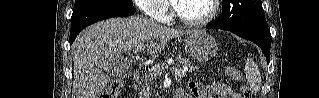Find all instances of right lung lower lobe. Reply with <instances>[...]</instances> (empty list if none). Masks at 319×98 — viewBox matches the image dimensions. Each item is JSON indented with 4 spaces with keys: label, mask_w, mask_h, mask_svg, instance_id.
<instances>
[{
    "label": "right lung lower lobe",
    "mask_w": 319,
    "mask_h": 98,
    "mask_svg": "<svg viewBox=\"0 0 319 98\" xmlns=\"http://www.w3.org/2000/svg\"><path fill=\"white\" fill-rule=\"evenodd\" d=\"M135 13L133 7L114 4L88 6L74 9L71 17L70 44L85 27L111 17H127Z\"/></svg>",
    "instance_id": "98d812e1"
}]
</instances>
